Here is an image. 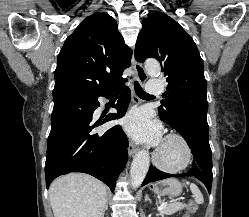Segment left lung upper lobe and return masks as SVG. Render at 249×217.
I'll return each instance as SVG.
<instances>
[{"label": "left lung upper lobe", "mask_w": 249, "mask_h": 217, "mask_svg": "<svg viewBox=\"0 0 249 217\" xmlns=\"http://www.w3.org/2000/svg\"><path fill=\"white\" fill-rule=\"evenodd\" d=\"M156 58L166 76V100L158 107L161 120L178 126L186 114L206 115V79L203 62L193 39L171 17L150 13L142 21L135 46V58Z\"/></svg>", "instance_id": "left-lung-upper-lobe-1"}]
</instances>
